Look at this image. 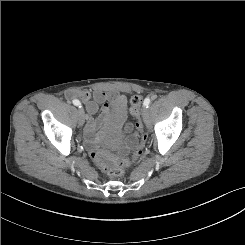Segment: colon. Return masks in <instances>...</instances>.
I'll return each mask as SVG.
<instances>
[{
    "label": "colon",
    "mask_w": 245,
    "mask_h": 245,
    "mask_svg": "<svg viewBox=\"0 0 245 245\" xmlns=\"http://www.w3.org/2000/svg\"><path fill=\"white\" fill-rule=\"evenodd\" d=\"M142 96L134 95L131 97L130 112L136 119L135 129L138 134L139 141L135 144L131 150L129 158H121L117 160H110L105 158L99 151L92 150L91 157L93 161L107 174L113 177H120L124 174L126 168L132 166L143 154V147L146 141V135L144 133L143 124L141 121V103Z\"/></svg>",
    "instance_id": "5ec220e1"
}]
</instances>
